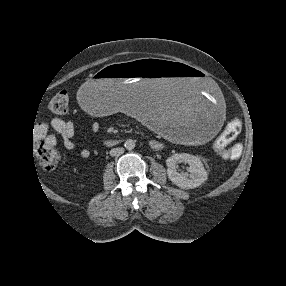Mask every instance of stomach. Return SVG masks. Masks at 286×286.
<instances>
[{"label":"stomach","mask_w":286,"mask_h":286,"mask_svg":"<svg viewBox=\"0 0 286 286\" xmlns=\"http://www.w3.org/2000/svg\"><path fill=\"white\" fill-rule=\"evenodd\" d=\"M78 99L95 117L131 109L180 144L207 140L225 118L224 96L209 77L160 57L107 65L80 88Z\"/></svg>","instance_id":"obj_1"}]
</instances>
